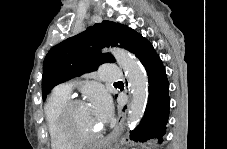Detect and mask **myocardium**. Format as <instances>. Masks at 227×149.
<instances>
[{"label": "myocardium", "mask_w": 227, "mask_h": 149, "mask_svg": "<svg viewBox=\"0 0 227 149\" xmlns=\"http://www.w3.org/2000/svg\"><path fill=\"white\" fill-rule=\"evenodd\" d=\"M84 104V100L70 99L61 109L59 113V127L63 137L73 145H90L97 141L101 136V130L92 136H79L71 130V116L73 111L80 105Z\"/></svg>", "instance_id": "obj_1"}]
</instances>
